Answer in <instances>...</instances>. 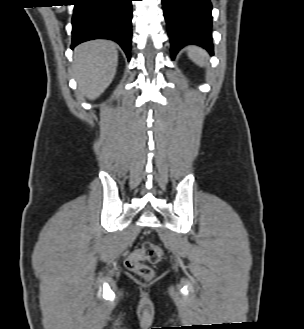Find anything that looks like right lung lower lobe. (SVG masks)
Wrapping results in <instances>:
<instances>
[{"mask_svg": "<svg viewBox=\"0 0 304 329\" xmlns=\"http://www.w3.org/2000/svg\"><path fill=\"white\" fill-rule=\"evenodd\" d=\"M72 45L92 39L117 42L130 60L133 0H73Z\"/></svg>", "mask_w": 304, "mask_h": 329, "instance_id": "98d812e1", "label": "right lung lower lobe"}]
</instances>
